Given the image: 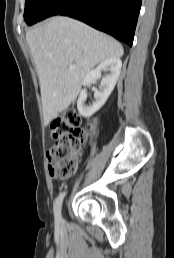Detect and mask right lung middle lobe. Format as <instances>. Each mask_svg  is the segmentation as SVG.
Here are the masks:
<instances>
[{
	"label": "right lung middle lobe",
	"mask_w": 174,
	"mask_h": 258,
	"mask_svg": "<svg viewBox=\"0 0 174 258\" xmlns=\"http://www.w3.org/2000/svg\"><path fill=\"white\" fill-rule=\"evenodd\" d=\"M52 0H25L24 19L33 25L43 19V15Z\"/></svg>",
	"instance_id": "obj_1"
}]
</instances>
